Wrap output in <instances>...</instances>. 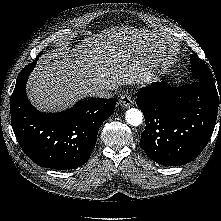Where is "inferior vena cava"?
<instances>
[{
	"label": "inferior vena cava",
	"instance_id": "inferior-vena-cava-1",
	"mask_svg": "<svg viewBox=\"0 0 221 221\" xmlns=\"http://www.w3.org/2000/svg\"><path fill=\"white\" fill-rule=\"evenodd\" d=\"M90 96L99 97V98H111L112 93L109 91V89H105L102 87H97L95 89H92L89 91Z\"/></svg>",
	"mask_w": 221,
	"mask_h": 221
}]
</instances>
